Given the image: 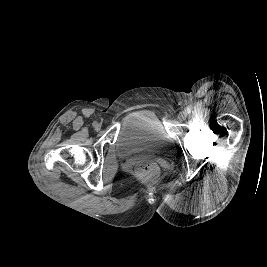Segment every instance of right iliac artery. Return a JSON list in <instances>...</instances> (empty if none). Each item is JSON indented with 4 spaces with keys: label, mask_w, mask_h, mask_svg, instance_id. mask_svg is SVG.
<instances>
[{
    "label": "right iliac artery",
    "mask_w": 267,
    "mask_h": 267,
    "mask_svg": "<svg viewBox=\"0 0 267 267\" xmlns=\"http://www.w3.org/2000/svg\"><path fill=\"white\" fill-rule=\"evenodd\" d=\"M95 125H96V122H93V126L95 127Z\"/></svg>",
    "instance_id": "right-iliac-artery-1"
}]
</instances>
